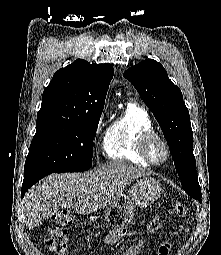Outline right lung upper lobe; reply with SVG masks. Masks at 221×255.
Segmentation results:
<instances>
[{
  "mask_svg": "<svg viewBox=\"0 0 221 255\" xmlns=\"http://www.w3.org/2000/svg\"><path fill=\"white\" fill-rule=\"evenodd\" d=\"M112 77L110 64L77 59L54 74L38 116L86 117L102 111Z\"/></svg>",
  "mask_w": 221,
  "mask_h": 255,
  "instance_id": "right-lung-upper-lobe-1",
  "label": "right lung upper lobe"
}]
</instances>
